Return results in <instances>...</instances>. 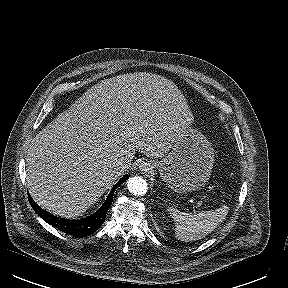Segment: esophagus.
Instances as JSON below:
<instances>
[{"instance_id":"1","label":"esophagus","mask_w":288,"mask_h":288,"mask_svg":"<svg viewBox=\"0 0 288 288\" xmlns=\"http://www.w3.org/2000/svg\"><path fill=\"white\" fill-rule=\"evenodd\" d=\"M139 168L142 170V171H150L151 170V165L150 163L146 162V161H143L139 164Z\"/></svg>"}]
</instances>
